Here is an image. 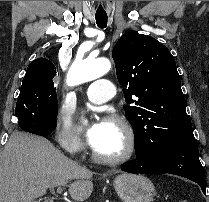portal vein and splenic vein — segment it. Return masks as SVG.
Here are the masks:
<instances>
[{"label": "portal vein and splenic vein", "instance_id": "18ae733b", "mask_svg": "<svg viewBox=\"0 0 209 202\" xmlns=\"http://www.w3.org/2000/svg\"><path fill=\"white\" fill-rule=\"evenodd\" d=\"M57 193H59V194L62 193V187L60 185L57 187Z\"/></svg>", "mask_w": 209, "mask_h": 202}]
</instances>
